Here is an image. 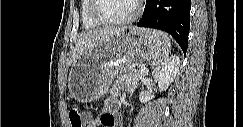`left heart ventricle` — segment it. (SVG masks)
I'll list each match as a JSON object with an SVG mask.
<instances>
[{
	"mask_svg": "<svg viewBox=\"0 0 243 127\" xmlns=\"http://www.w3.org/2000/svg\"><path fill=\"white\" fill-rule=\"evenodd\" d=\"M135 6V0H99L98 13L105 19L117 20L131 15Z\"/></svg>",
	"mask_w": 243,
	"mask_h": 127,
	"instance_id": "obj_1",
	"label": "left heart ventricle"
}]
</instances>
